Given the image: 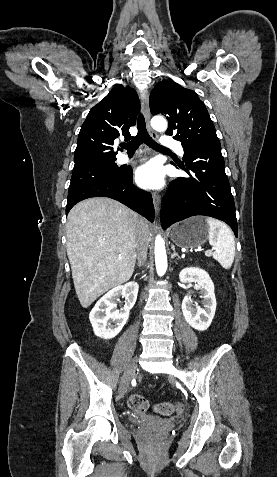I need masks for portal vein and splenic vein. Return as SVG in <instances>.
Instances as JSON below:
<instances>
[{
	"label": "portal vein and splenic vein",
	"instance_id": "1",
	"mask_svg": "<svg viewBox=\"0 0 277 477\" xmlns=\"http://www.w3.org/2000/svg\"><path fill=\"white\" fill-rule=\"evenodd\" d=\"M205 254L209 256L211 254V250H207Z\"/></svg>",
	"mask_w": 277,
	"mask_h": 477
}]
</instances>
